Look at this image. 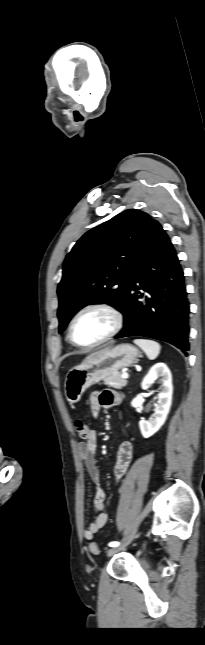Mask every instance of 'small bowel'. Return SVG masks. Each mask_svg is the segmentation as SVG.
Listing matches in <instances>:
<instances>
[{
    "mask_svg": "<svg viewBox=\"0 0 205 645\" xmlns=\"http://www.w3.org/2000/svg\"><path fill=\"white\" fill-rule=\"evenodd\" d=\"M121 402L120 395L112 390L96 391L90 398V409L92 415L97 417L103 408H112ZM97 448V434L91 430L90 438L86 442L78 443L77 452L84 462L91 480L97 485L93 496V507L97 514L84 530V538L92 540L94 535L108 522L106 513L104 489L99 486L100 469L95 458ZM133 457V445L130 439L124 441L118 449L117 460L114 468V475L117 480L121 479L127 472Z\"/></svg>",
    "mask_w": 205,
    "mask_h": 645,
    "instance_id": "small-bowel-1",
    "label": "small bowel"
}]
</instances>
